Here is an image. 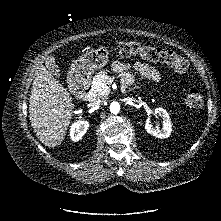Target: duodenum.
<instances>
[{
    "label": "duodenum",
    "instance_id": "obj_1",
    "mask_svg": "<svg viewBox=\"0 0 221 221\" xmlns=\"http://www.w3.org/2000/svg\"><path fill=\"white\" fill-rule=\"evenodd\" d=\"M77 93L86 101H93L95 98L93 89L88 81L80 83L79 87L77 88Z\"/></svg>",
    "mask_w": 221,
    "mask_h": 221
}]
</instances>
